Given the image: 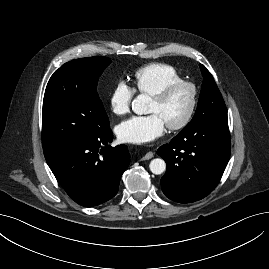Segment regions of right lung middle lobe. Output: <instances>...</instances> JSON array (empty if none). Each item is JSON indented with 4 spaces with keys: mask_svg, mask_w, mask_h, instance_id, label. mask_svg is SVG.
Returning <instances> with one entry per match:
<instances>
[{
    "mask_svg": "<svg viewBox=\"0 0 269 269\" xmlns=\"http://www.w3.org/2000/svg\"><path fill=\"white\" fill-rule=\"evenodd\" d=\"M110 62L102 56L76 59L51 76L43 100L44 152L99 136L109 128L96 87Z\"/></svg>",
    "mask_w": 269,
    "mask_h": 269,
    "instance_id": "right-lung-middle-lobe-1",
    "label": "right lung middle lobe"
}]
</instances>
